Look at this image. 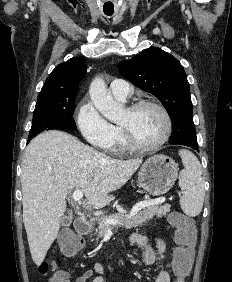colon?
<instances>
[{"label": "colon", "mask_w": 232, "mask_h": 282, "mask_svg": "<svg viewBox=\"0 0 232 282\" xmlns=\"http://www.w3.org/2000/svg\"><path fill=\"white\" fill-rule=\"evenodd\" d=\"M170 223L175 228V248L173 250L172 269L177 278L176 282H185L189 274L192 259L193 247L196 242V228L193 220L179 212L170 215ZM60 252L63 257L74 256L82 247V240L70 230H64L59 238ZM54 269V264L43 261L38 266V271L42 275H47ZM57 272H53V277L59 281Z\"/></svg>", "instance_id": "colon-1"}]
</instances>
